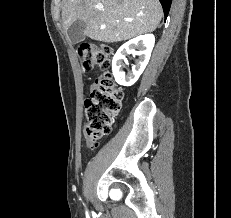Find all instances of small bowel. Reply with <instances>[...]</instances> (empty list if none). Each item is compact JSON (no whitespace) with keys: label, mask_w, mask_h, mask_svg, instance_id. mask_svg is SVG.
<instances>
[{"label":"small bowel","mask_w":231,"mask_h":218,"mask_svg":"<svg viewBox=\"0 0 231 218\" xmlns=\"http://www.w3.org/2000/svg\"><path fill=\"white\" fill-rule=\"evenodd\" d=\"M97 81H98V80H96V82L93 84V86L97 83ZM87 145H88L89 148H94V146H95V145H94L91 141H89V140H87Z\"/></svg>","instance_id":"obj_1"}]
</instances>
